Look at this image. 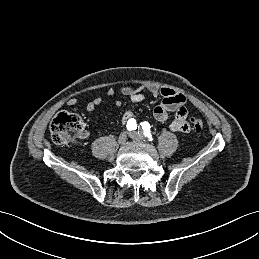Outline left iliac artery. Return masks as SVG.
<instances>
[{
	"label": "left iliac artery",
	"instance_id": "left-iliac-artery-1",
	"mask_svg": "<svg viewBox=\"0 0 259 259\" xmlns=\"http://www.w3.org/2000/svg\"><path fill=\"white\" fill-rule=\"evenodd\" d=\"M141 126H142V130L140 131L139 135L142 137V138H148L149 141H152L153 138H152V135L150 133V124L148 122H143L141 123Z\"/></svg>",
	"mask_w": 259,
	"mask_h": 259
}]
</instances>
